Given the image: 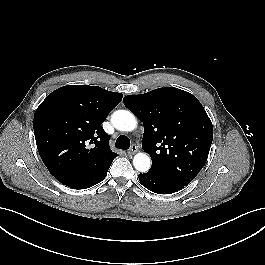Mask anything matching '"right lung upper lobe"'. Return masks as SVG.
<instances>
[{
  "label": "right lung upper lobe",
  "mask_w": 265,
  "mask_h": 265,
  "mask_svg": "<svg viewBox=\"0 0 265 265\" xmlns=\"http://www.w3.org/2000/svg\"><path fill=\"white\" fill-rule=\"evenodd\" d=\"M123 95L98 86L68 85L51 94L34 114L37 148L45 166L61 183L98 174L118 154L103 130Z\"/></svg>",
  "instance_id": "right-lung-upper-lobe-1"
}]
</instances>
